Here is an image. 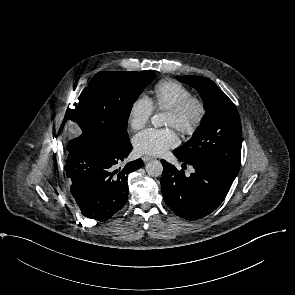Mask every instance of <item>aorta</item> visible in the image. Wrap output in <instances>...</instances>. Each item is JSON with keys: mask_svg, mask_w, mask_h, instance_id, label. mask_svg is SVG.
Masks as SVG:
<instances>
[{"mask_svg": "<svg viewBox=\"0 0 295 295\" xmlns=\"http://www.w3.org/2000/svg\"><path fill=\"white\" fill-rule=\"evenodd\" d=\"M151 123L154 127H161L165 124L164 114L158 113L151 117ZM146 172L149 176L158 177L162 175L163 166L160 161L152 160L146 164Z\"/></svg>", "mask_w": 295, "mask_h": 295, "instance_id": "obj_1", "label": "aorta"}]
</instances>
